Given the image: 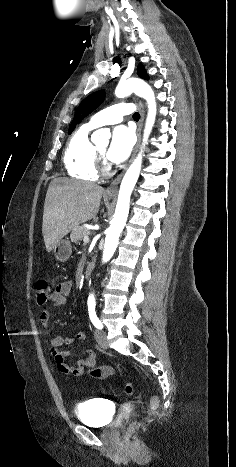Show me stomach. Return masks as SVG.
I'll use <instances>...</instances> for the list:
<instances>
[{
    "mask_svg": "<svg viewBox=\"0 0 236 467\" xmlns=\"http://www.w3.org/2000/svg\"><path fill=\"white\" fill-rule=\"evenodd\" d=\"M106 199H110L106 197ZM55 258L60 262H65L69 259L72 253V246L69 240H59L53 249Z\"/></svg>",
    "mask_w": 236,
    "mask_h": 467,
    "instance_id": "stomach-1",
    "label": "stomach"
}]
</instances>
